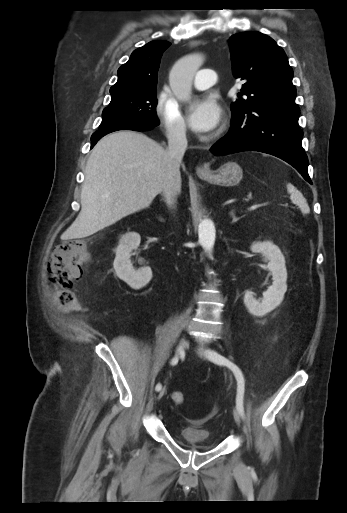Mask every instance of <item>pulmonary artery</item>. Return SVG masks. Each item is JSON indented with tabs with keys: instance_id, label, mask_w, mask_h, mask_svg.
Masks as SVG:
<instances>
[{
	"instance_id": "1",
	"label": "pulmonary artery",
	"mask_w": 347,
	"mask_h": 513,
	"mask_svg": "<svg viewBox=\"0 0 347 513\" xmlns=\"http://www.w3.org/2000/svg\"><path fill=\"white\" fill-rule=\"evenodd\" d=\"M217 82V73L212 69H200L194 79V87L204 90Z\"/></svg>"
}]
</instances>
